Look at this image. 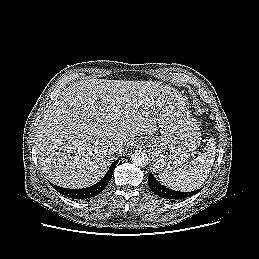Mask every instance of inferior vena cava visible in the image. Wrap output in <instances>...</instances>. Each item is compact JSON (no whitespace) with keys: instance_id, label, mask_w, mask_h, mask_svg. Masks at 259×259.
Instances as JSON below:
<instances>
[{"instance_id":"1","label":"inferior vena cava","mask_w":259,"mask_h":259,"mask_svg":"<svg viewBox=\"0 0 259 259\" xmlns=\"http://www.w3.org/2000/svg\"><path fill=\"white\" fill-rule=\"evenodd\" d=\"M122 143H116L114 145H112V150H117V149H120L122 148Z\"/></svg>"}]
</instances>
